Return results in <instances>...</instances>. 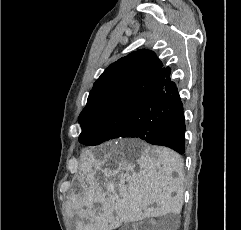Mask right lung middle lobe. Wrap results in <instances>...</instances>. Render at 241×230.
<instances>
[{
  "label": "right lung middle lobe",
  "instance_id": "1",
  "mask_svg": "<svg viewBox=\"0 0 241 230\" xmlns=\"http://www.w3.org/2000/svg\"><path fill=\"white\" fill-rule=\"evenodd\" d=\"M150 105L151 103L130 110H114L99 120L81 122L79 142L94 146L115 138L131 137L122 134L136 133L149 126L150 121L146 120L144 113Z\"/></svg>",
  "mask_w": 241,
  "mask_h": 230
}]
</instances>
